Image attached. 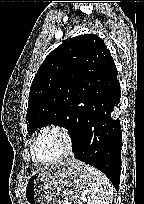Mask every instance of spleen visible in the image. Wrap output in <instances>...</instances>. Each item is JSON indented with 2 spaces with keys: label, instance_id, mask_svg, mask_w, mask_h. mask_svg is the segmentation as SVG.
I'll list each match as a JSON object with an SVG mask.
<instances>
[{
  "label": "spleen",
  "instance_id": "spleen-1",
  "mask_svg": "<svg viewBox=\"0 0 144 204\" xmlns=\"http://www.w3.org/2000/svg\"><path fill=\"white\" fill-rule=\"evenodd\" d=\"M87 187L85 200L87 204H109L113 196V186L109 179L98 169L87 166Z\"/></svg>",
  "mask_w": 144,
  "mask_h": 204
}]
</instances>
